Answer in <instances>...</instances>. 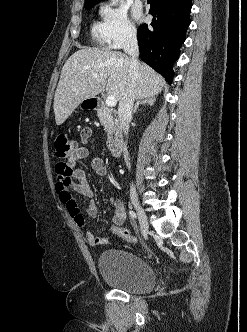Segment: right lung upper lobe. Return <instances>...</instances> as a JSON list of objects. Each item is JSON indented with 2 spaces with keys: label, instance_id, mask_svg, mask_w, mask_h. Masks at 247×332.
<instances>
[{
  "label": "right lung upper lobe",
  "instance_id": "right-lung-upper-lobe-1",
  "mask_svg": "<svg viewBox=\"0 0 247 332\" xmlns=\"http://www.w3.org/2000/svg\"><path fill=\"white\" fill-rule=\"evenodd\" d=\"M102 0H85V5L97 4Z\"/></svg>",
  "mask_w": 247,
  "mask_h": 332
}]
</instances>
